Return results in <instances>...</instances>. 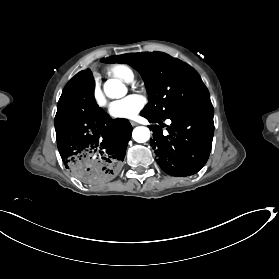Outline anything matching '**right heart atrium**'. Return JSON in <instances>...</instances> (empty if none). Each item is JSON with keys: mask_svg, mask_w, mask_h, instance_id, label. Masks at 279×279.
Returning a JSON list of instances; mask_svg holds the SVG:
<instances>
[{"mask_svg": "<svg viewBox=\"0 0 279 279\" xmlns=\"http://www.w3.org/2000/svg\"><path fill=\"white\" fill-rule=\"evenodd\" d=\"M93 97H94V100L97 102L98 105L101 106L103 104V94H102V91H101V89L98 85L94 86Z\"/></svg>", "mask_w": 279, "mask_h": 279, "instance_id": "1", "label": "right heart atrium"}]
</instances>
